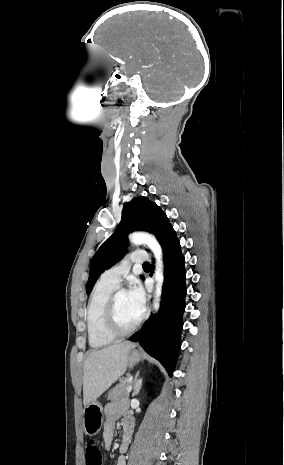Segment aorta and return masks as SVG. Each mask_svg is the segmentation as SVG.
<instances>
[{"instance_id": "aorta-1", "label": "aorta", "mask_w": 284, "mask_h": 465, "mask_svg": "<svg viewBox=\"0 0 284 465\" xmlns=\"http://www.w3.org/2000/svg\"><path fill=\"white\" fill-rule=\"evenodd\" d=\"M130 241L134 244H145L153 252L156 259L154 278L156 280L155 300L153 303L154 310L157 312L160 307L162 286L164 282V265L162 248L156 238L148 233L135 232L130 235Z\"/></svg>"}]
</instances>
